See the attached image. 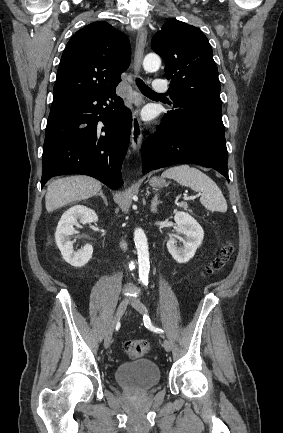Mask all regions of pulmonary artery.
<instances>
[{
    "label": "pulmonary artery",
    "instance_id": "1",
    "mask_svg": "<svg viewBox=\"0 0 283 433\" xmlns=\"http://www.w3.org/2000/svg\"><path fill=\"white\" fill-rule=\"evenodd\" d=\"M153 92H167L168 85L163 78H156L151 86Z\"/></svg>",
    "mask_w": 283,
    "mask_h": 433
}]
</instances>
